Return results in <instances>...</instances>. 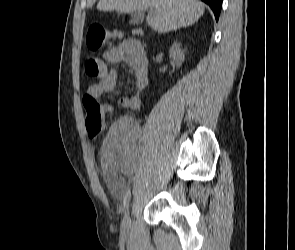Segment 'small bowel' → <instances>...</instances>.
<instances>
[{
	"instance_id": "small-bowel-1",
	"label": "small bowel",
	"mask_w": 295,
	"mask_h": 250,
	"mask_svg": "<svg viewBox=\"0 0 295 250\" xmlns=\"http://www.w3.org/2000/svg\"><path fill=\"white\" fill-rule=\"evenodd\" d=\"M125 62L134 71L132 94L118 99L120 106L138 109L141 105L142 93L148 85V62L141 43L137 40H125L104 54L99 81L92 84L87 95L95 99L111 92L117 81V71L109 69L107 64ZM107 113L112 111L108 104L103 105ZM139 152V130L129 118L119 119L109 130L102 149V165L105 179L110 190L120 195L126 188V177L131 175L134 162Z\"/></svg>"
}]
</instances>
